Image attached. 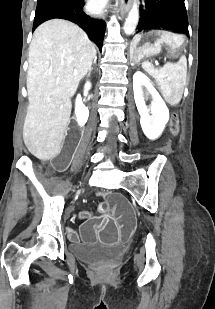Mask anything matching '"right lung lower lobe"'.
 <instances>
[{"label": "right lung lower lobe", "instance_id": "1", "mask_svg": "<svg viewBox=\"0 0 215 309\" xmlns=\"http://www.w3.org/2000/svg\"><path fill=\"white\" fill-rule=\"evenodd\" d=\"M54 18L66 19L78 24L85 32H87L90 39L96 43L100 51L102 50L105 33V22L94 20L87 16L83 12V5L73 7L51 4L36 10L33 31L41 23Z\"/></svg>", "mask_w": 215, "mask_h": 309}]
</instances>
